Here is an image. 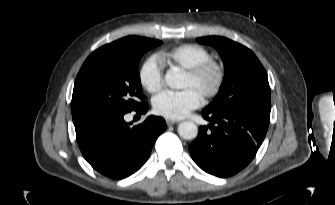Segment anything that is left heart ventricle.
<instances>
[{
	"mask_svg": "<svg viewBox=\"0 0 335 205\" xmlns=\"http://www.w3.org/2000/svg\"><path fill=\"white\" fill-rule=\"evenodd\" d=\"M214 81V75L212 73L205 76L201 81H196L193 78H191L188 74L185 75L184 81H183V87H193L197 89L200 93L203 88L209 87Z\"/></svg>",
	"mask_w": 335,
	"mask_h": 205,
	"instance_id": "b2bd125f",
	"label": "left heart ventricle"
}]
</instances>
